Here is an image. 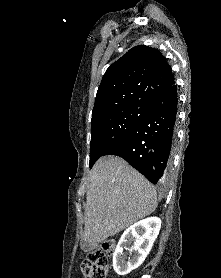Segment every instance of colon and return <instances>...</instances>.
Masks as SVG:
<instances>
[{"label":"colon","instance_id":"obj_1","mask_svg":"<svg viewBox=\"0 0 221 278\" xmlns=\"http://www.w3.org/2000/svg\"><path fill=\"white\" fill-rule=\"evenodd\" d=\"M116 242L113 239L103 241L97 248L88 253L81 261V270L86 278H106L109 268V257L113 255Z\"/></svg>","mask_w":221,"mask_h":278}]
</instances>
